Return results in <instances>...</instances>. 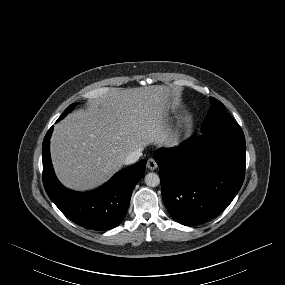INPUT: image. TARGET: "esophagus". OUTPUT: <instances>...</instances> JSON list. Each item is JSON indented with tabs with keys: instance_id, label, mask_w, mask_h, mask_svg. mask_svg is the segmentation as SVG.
Segmentation results:
<instances>
[{
	"instance_id": "34e87169",
	"label": "esophagus",
	"mask_w": 285,
	"mask_h": 285,
	"mask_svg": "<svg viewBox=\"0 0 285 285\" xmlns=\"http://www.w3.org/2000/svg\"><path fill=\"white\" fill-rule=\"evenodd\" d=\"M147 167H148V169L153 171V170L157 169L158 164H157V162L153 158H150L147 161Z\"/></svg>"
}]
</instances>
